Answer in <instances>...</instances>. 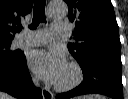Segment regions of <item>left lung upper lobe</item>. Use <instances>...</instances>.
I'll return each mask as SVG.
<instances>
[{"mask_svg":"<svg viewBox=\"0 0 128 99\" xmlns=\"http://www.w3.org/2000/svg\"><path fill=\"white\" fill-rule=\"evenodd\" d=\"M68 18L75 21L69 52L79 62L97 49L121 51L119 30L110 0H65Z\"/></svg>","mask_w":128,"mask_h":99,"instance_id":"left-lung-upper-lobe-1","label":"left lung upper lobe"}]
</instances>
